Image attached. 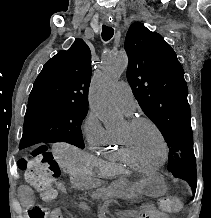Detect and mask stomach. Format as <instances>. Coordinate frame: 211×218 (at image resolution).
Segmentation results:
<instances>
[{
  "instance_id": "obj_1",
  "label": "stomach",
  "mask_w": 211,
  "mask_h": 218,
  "mask_svg": "<svg viewBox=\"0 0 211 218\" xmlns=\"http://www.w3.org/2000/svg\"><path fill=\"white\" fill-rule=\"evenodd\" d=\"M74 183L82 188L91 189L103 185V182L94 178L89 174H79L74 176ZM123 183L129 184L137 190V192L150 197H159L166 192V183L162 175L152 174L135 182Z\"/></svg>"
}]
</instances>
